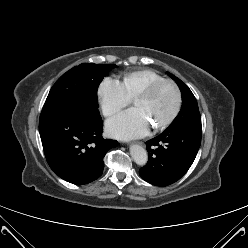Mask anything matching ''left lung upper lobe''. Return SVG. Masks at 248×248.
Instances as JSON below:
<instances>
[{"instance_id": "5c2ea615", "label": "left lung upper lobe", "mask_w": 248, "mask_h": 248, "mask_svg": "<svg viewBox=\"0 0 248 248\" xmlns=\"http://www.w3.org/2000/svg\"><path fill=\"white\" fill-rule=\"evenodd\" d=\"M176 81L182 93V108L172 124L167 128L170 130L196 128L201 129V116L197 101L191 90L177 77L167 72Z\"/></svg>"}]
</instances>
